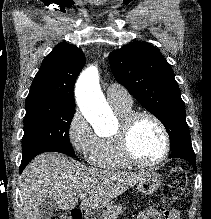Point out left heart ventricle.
Listing matches in <instances>:
<instances>
[{
    "label": "left heart ventricle",
    "mask_w": 211,
    "mask_h": 219,
    "mask_svg": "<svg viewBox=\"0 0 211 219\" xmlns=\"http://www.w3.org/2000/svg\"><path fill=\"white\" fill-rule=\"evenodd\" d=\"M131 146L135 155L145 162L155 161L162 155L163 136L152 119L148 117L138 119L132 131Z\"/></svg>",
    "instance_id": "1"
}]
</instances>
